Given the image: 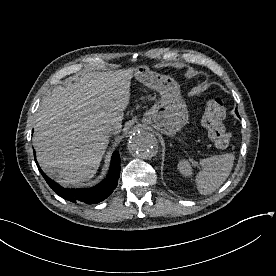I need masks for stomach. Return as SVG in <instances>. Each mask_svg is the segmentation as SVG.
<instances>
[{
    "label": "stomach",
    "mask_w": 276,
    "mask_h": 276,
    "mask_svg": "<svg viewBox=\"0 0 276 276\" xmlns=\"http://www.w3.org/2000/svg\"><path fill=\"white\" fill-rule=\"evenodd\" d=\"M135 78L160 94V99L144 115L143 121L157 131L174 135L188 123L187 105L181 96L180 86L170 76L151 71L146 66H137Z\"/></svg>",
    "instance_id": "0dacf381"
}]
</instances>
